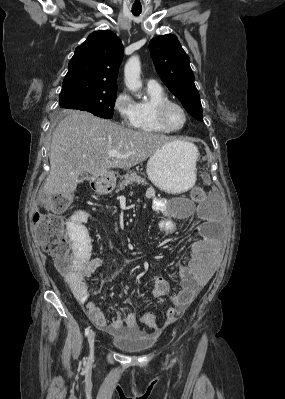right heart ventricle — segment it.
Instances as JSON below:
<instances>
[{"label":"right heart ventricle","instance_id":"1","mask_svg":"<svg viewBox=\"0 0 285 399\" xmlns=\"http://www.w3.org/2000/svg\"><path fill=\"white\" fill-rule=\"evenodd\" d=\"M148 101L135 104L136 118L135 129L141 132L153 134H168V131L162 128L157 120L155 108L160 103L170 100L166 91L162 87H147Z\"/></svg>","mask_w":285,"mask_h":399}]
</instances>
